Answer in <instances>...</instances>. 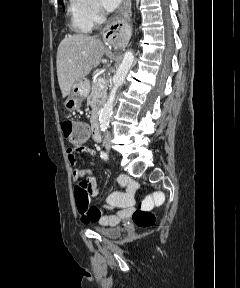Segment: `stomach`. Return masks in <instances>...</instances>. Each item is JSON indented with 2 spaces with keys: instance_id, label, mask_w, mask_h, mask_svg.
<instances>
[{
  "instance_id": "0dacf381",
  "label": "stomach",
  "mask_w": 240,
  "mask_h": 288,
  "mask_svg": "<svg viewBox=\"0 0 240 288\" xmlns=\"http://www.w3.org/2000/svg\"><path fill=\"white\" fill-rule=\"evenodd\" d=\"M90 92V83L87 79H81L74 84L72 90L65 102L68 111H75L80 108L81 103Z\"/></svg>"
}]
</instances>
